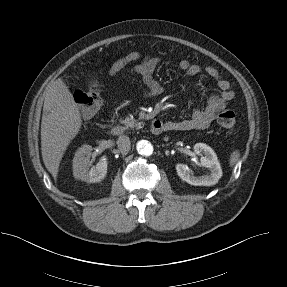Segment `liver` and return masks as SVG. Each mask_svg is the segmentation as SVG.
Wrapping results in <instances>:
<instances>
[{
  "instance_id": "1",
  "label": "liver",
  "mask_w": 287,
  "mask_h": 287,
  "mask_svg": "<svg viewBox=\"0 0 287 287\" xmlns=\"http://www.w3.org/2000/svg\"><path fill=\"white\" fill-rule=\"evenodd\" d=\"M81 125V114L69 88L61 78L51 82L43 105L41 152L45 167L55 180L64 152Z\"/></svg>"
}]
</instances>
